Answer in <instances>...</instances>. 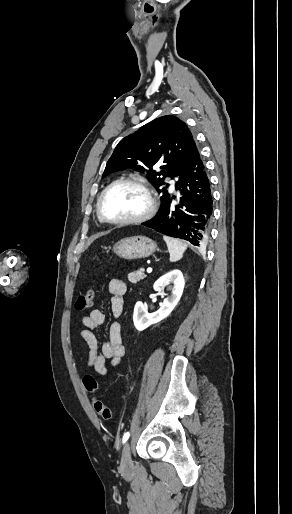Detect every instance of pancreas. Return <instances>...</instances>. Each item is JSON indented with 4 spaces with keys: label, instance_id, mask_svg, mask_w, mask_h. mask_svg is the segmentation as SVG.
<instances>
[{
    "label": "pancreas",
    "instance_id": "1",
    "mask_svg": "<svg viewBox=\"0 0 292 514\" xmlns=\"http://www.w3.org/2000/svg\"><path fill=\"white\" fill-rule=\"evenodd\" d=\"M143 278H146L144 274V268H140V270H137V272L128 274V280L129 282H132V284H137V282H139V280H143Z\"/></svg>",
    "mask_w": 292,
    "mask_h": 514
}]
</instances>
